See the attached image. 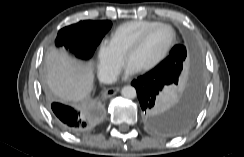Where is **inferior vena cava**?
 I'll return each instance as SVG.
<instances>
[{
  "mask_svg": "<svg viewBox=\"0 0 244 157\" xmlns=\"http://www.w3.org/2000/svg\"><path fill=\"white\" fill-rule=\"evenodd\" d=\"M117 80V74L108 73L103 76V82L107 84L114 83Z\"/></svg>",
  "mask_w": 244,
  "mask_h": 157,
  "instance_id": "inferior-vena-cava-1",
  "label": "inferior vena cava"
}]
</instances>
